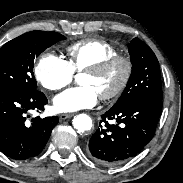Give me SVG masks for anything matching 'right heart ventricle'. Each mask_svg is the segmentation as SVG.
<instances>
[{
  "instance_id": "right-heart-ventricle-1",
  "label": "right heart ventricle",
  "mask_w": 183,
  "mask_h": 183,
  "mask_svg": "<svg viewBox=\"0 0 183 183\" xmlns=\"http://www.w3.org/2000/svg\"><path fill=\"white\" fill-rule=\"evenodd\" d=\"M117 53V48L107 41L85 39L66 48V62L77 73Z\"/></svg>"
}]
</instances>
